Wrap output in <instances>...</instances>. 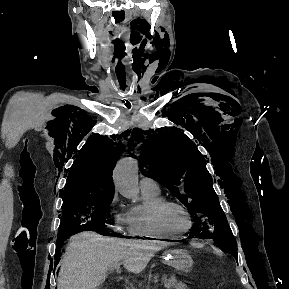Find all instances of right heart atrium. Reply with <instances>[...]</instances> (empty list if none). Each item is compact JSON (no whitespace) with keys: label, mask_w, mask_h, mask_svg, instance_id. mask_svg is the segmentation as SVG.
Returning a JSON list of instances; mask_svg holds the SVG:
<instances>
[{"label":"right heart atrium","mask_w":289,"mask_h":289,"mask_svg":"<svg viewBox=\"0 0 289 289\" xmlns=\"http://www.w3.org/2000/svg\"><path fill=\"white\" fill-rule=\"evenodd\" d=\"M120 205V199L119 196L116 192H114L108 202V207L110 209H116L118 206ZM124 214H119L117 216V222L116 224L113 226V230L114 231H121L122 230V225L124 224Z\"/></svg>","instance_id":"obj_1"}]
</instances>
